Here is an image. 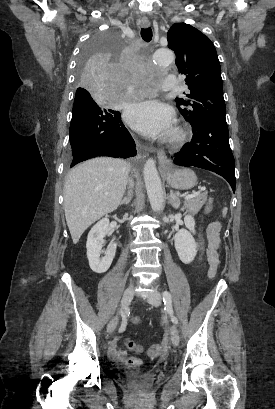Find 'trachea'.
<instances>
[{
  "label": "trachea",
  "instance_id": "trachea-1",
  "mask_svg": "<svg viewBox=\"0 0 275 409\" xmlns=\"http://www.w3.org/2000/svg\"><path fill=\"white\" fill-rule=\"evenodd\" d=\"M141 37L146 42H150L152 39V30L151 28H142L141 29Z\"/></svg>",
  "mask_w": 275,
  "mask_h": 409
}]
</instances>
